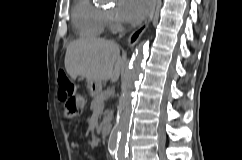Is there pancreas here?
<instances>
[{"label": "pancreas", "instance_id": "obj_1", "mask_svg": "<svg viewBox=\"0 0 242 160\" xmlns=\"http://www.w3.org/2000/svg\"><path fill=\"white\" fill-rule=\"evenodd\" d=\"M107 98V94L106 92H101L99 93L98 95L94 96L92 102H91V106H90V109L91 110H100L102 111L103 108H104V100ZM110 121V117L109 116H106L104 117L102 123L100 126H102L103 124L107 123Z\"/></svg>", "mask_w": 242, "mask_h": 160}]
</instances>
